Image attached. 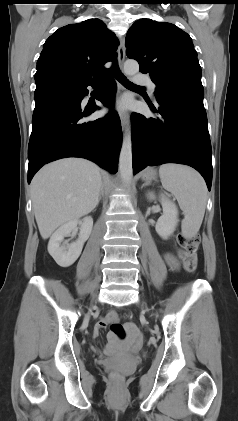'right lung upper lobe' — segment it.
I'll list each match as a JSON object with an SVG mask.
<instances>
[{
	"mask_svg": "<svg viewBox=\"0 0 238 421\" xmlns=\"http://www.w3.org/2000/svg\"><path fill=\"white\" fill-rule=\"evenodd\" d=\"M119 41L99 19H89L58 29L44 43L37 61L35 82L57 80L96 81L116 57Z\"/></svg>",
	"mask_w": 238,
	"mask_h": 421,
	"instance_id": "obj_1",
	"label": "right lung upper lobe"
}]
</instances>
